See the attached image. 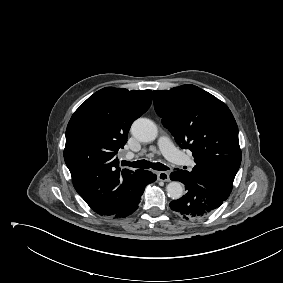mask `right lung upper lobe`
Listing matches in <instances>:
<instances>
[{
	"label": "right lung upper lobe",
	"mask_w": 283,
	"mask_h": 283,
	"mask_svg": "<svg viewBox=\"0 0 283 283\" xmlns=\"http://www.w3.org/2000/svg\"><path fill=\"white\" fill-rule=\"evenodd\" d=\"M151 102V90L106 87L89 97L68 123L66 165L78 194L100 215L118 211L139 191L141 170H121L116 154L126 144L132 122Z\"/></svg>",
	"instance_id": "1"
}]
</instances>
